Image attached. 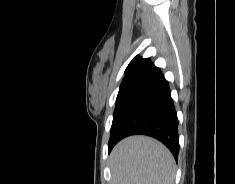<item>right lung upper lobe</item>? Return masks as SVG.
I'll return each instance as SVG.
<instances>
[{
    "label": "right lung upper lobe",
    "mask_w": 235,
    "mask_h": 184,
    "mask_svg": "<svg viewBox=\"0 0 235 184\" xmlns=\"http://www.w3.org/2000/svg\"><path fill=\"white\" fill-rule=\"evenodd\" d=\"M154 67L155 66L149 59H143L136 56L126 68L125 78L120 85L119 91L125 92L132 86L137 85Z\"/></svg>",
    "instance_id": "cb5924a9"
}]
</instances>
